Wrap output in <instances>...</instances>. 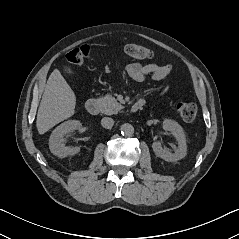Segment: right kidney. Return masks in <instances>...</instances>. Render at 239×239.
<instances>
[{
  "label": "right kidney",
  "mask_w": 239,
  "mask_h": 239,
  "mask_svg": "<svg viewBox=\"0 0 239 239\" xmlns=\"http://www.w3.org/2000/svg\"><path fill=\"white\" fill-rule=\"evenodd\" d=\"M82 124L78 120H68L56 127L49 139V149L52 154L64 158L79 152V147L70 148L65 145L64 136L74 130H80Z\"/></svg>",
  "instance_id": "1"
}]
</instances>
